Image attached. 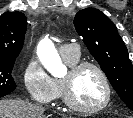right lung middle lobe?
<instances>
[{"label": "right lung middle lobe", "instance_id": "dd1d6c3e", "mask_svg": "<svg viewBox=\"0 0 133 118\" xmlns=\"http://www.w3.org/2000/svg\"><path fill=\"white\" fill-rule=\"evenodd\" d=\"M15 59L0 58V97L11 93L16 83L11 75Z\"/></svg>", "mask_w": 133, "mask_h": 118}]
</instances>
